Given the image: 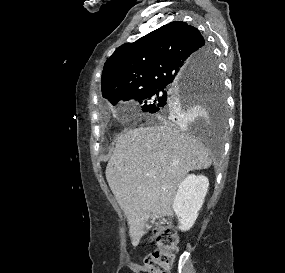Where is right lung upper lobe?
Here are the masks:
<instances>
[{"label":"right lung upper lobe","mask_w":285,"mask_h":273,"mask_svg":"<svg viewBox=\"0 0 285 273\" xmlns=\"http://www.w3.org/2000/svg\"><path fill=\"white\" fill-rule=\"evenodd\" d=\"M209 50L198 29L172 22L116 49L105 63L102 94L112 104L159 85L172 86L205 60Z\"/></svg>","instance_id":"right-lung-upper-lobe-1"}]
</instances>
